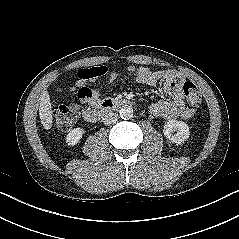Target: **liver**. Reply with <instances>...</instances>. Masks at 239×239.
<instances>
[{"mask_svg": "<svg viewBox=\"0 0 239 239\" xmlns=\"http://www.w3.org/2000/svg\"><path fill=\"white\" fill-rule=\"evenodd\" d=\"M39 116L41 119V124L43 128L48 130L52 127L53 116H52V105L50 101V96L47 91L41 96L40 106H39Z\"/></svg>", "mask_w": 239, "mask_h": 239, "instance_id": "1", "label": "liver"}]
</instances>
